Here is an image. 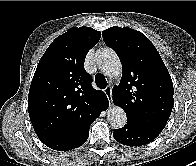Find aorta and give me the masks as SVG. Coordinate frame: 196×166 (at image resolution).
I'll list each match as a JSON object with an SVG mask.
<instances>
[{"instance_id":"obj_1","label":"aorta","mask_w":196,"mask_h":166,"mask_svg":"<svg viewBox=\"0 0 196 166\" xmlns=\"http://www.w3.org/2000/svg\"><path fill=\"white\" fill-rule=\"evenodd\" d=\"M95 59L99 69L107 76L117 77L121 74V62L113 49L97 51ZM107 120L113 128H122L127 121L126 113L121 107L113 105L108 108Z\"/></svg>"}]
</instances>
